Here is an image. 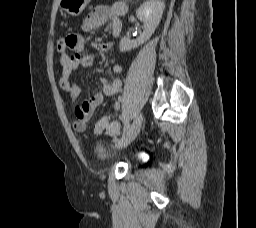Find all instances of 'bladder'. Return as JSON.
<instances>
[{
    "mask_svg": "<svg viewBox=\"0 0 256 228\" xmlns=\"http://www.w3.org/2000/svg\"><path fill=\"white\" fill-rule=\"evenodd\" d=\"M102 150H103V147H102L101 143H97L96 146H95V151L100 152Z\"/></svg>",
    "mask_w": 256,
    "mask_h": 228,
    "instance_id": "obj_1",
    "label": "bladder"
}]
</instances>
